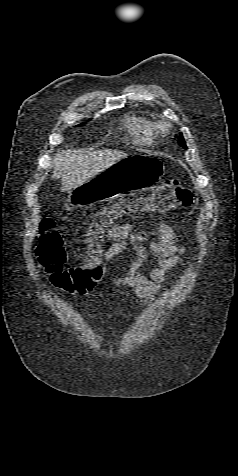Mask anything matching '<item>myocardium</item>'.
Returning <instances> with one entry per match:
<instances>
[{
  "label": "myocardium",
  "mask_w": 238,
  "mask_h": 476,
  "mask_svg": "<svg viewBox=\"0 0 238 476\" xmlns=\"http://www.w3.org/2000/svg\"><path fill=\"white\" fill-rule=\"evenodd\" d=\"M171 129V125L168 121H160L156 124V130L162 134H167Z\"/></svg>",
  "instance_id": "myocardium-1"
}]
</instances>
